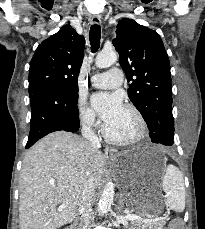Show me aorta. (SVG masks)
<instances>
[{"mask_svg":"<svg viewBox=\"0 0 205 229\" xmlns=\"http://www.w3.org/2000/svg\"><path fill=\"white\" fill-rule=\"evenodd\" d=\"M117 61V53L115 51H101L95 59V64L99 68H107ZM114 185L112 182L107 183L98 202V211L100 215L105 214L113 204Z\"/></svg>","mask_w":205,"mask_h":229,"instance_id":"1","label":"aorta"}]
</instances>
